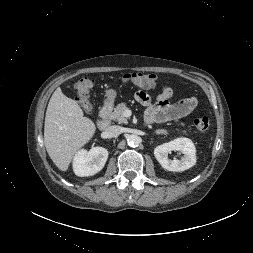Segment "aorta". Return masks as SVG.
Here are the masks:
<instances>
[{
    "mask_svg": "<svg viewBox=\"0 0 253 253\" xmlns=\"http://www.w3.org/2000/svg\"><path fill=\"white\" fill-rule=\"evenodd\" d=\"M127 143L131 147L138 146L141 143V138L138 135H129L127 137Z\"/></svg>",
    "mask_w": 253,
    "mask_h": 253,
    "instance_id": "aorta-1",
    "label": "aorta"
}]
</instances>
